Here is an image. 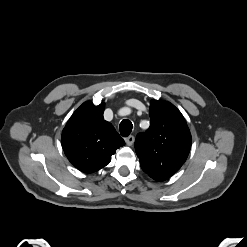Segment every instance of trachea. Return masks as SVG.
Instances as JSON below:
<instances>
[{
  "instance_id": "1",
  "label": "trachea",
  "mask_w": 247,
  "mask_h": 247,
  "mask_svg": "<svg viewBox=\"0 0 247 247\" xmlns=\"http://www.w3.org/2000/svg\"><path fill=\"white\" fill-rule=\"evenodd\" d=\"M132 128H133V125H132L131 121L125 119L119 125L120 134L123 137H127L131 133Z\"/></svg>"
}]
</instances>
